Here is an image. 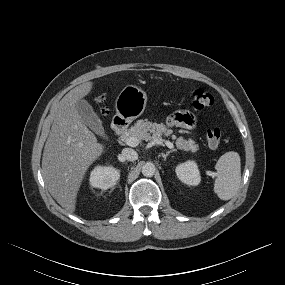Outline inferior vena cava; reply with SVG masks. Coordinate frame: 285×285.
<instances>
[{
  "mask_svg": "<svg viewBox=\"0 0 285 285\" xmlns=\"http://www.w3.org/2000/svg\"><path fill=\"white\" fill-rule=\"evenodd\" d=\"M121 159L123 161L127 160V161H135L138 159V154L135 150L131 149V148H124L122 150V154H121Z\"/></svg>",
  "mask_w": 285,
  "mask_h": 285,
  "instance_id": "602c4592",
  "label": "inferior vena cava"
}]
</instances>
